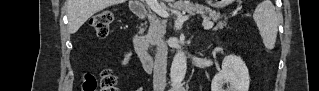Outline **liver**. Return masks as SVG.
Masks as SVG:
<instances>
[{"label":"liver","mask_w":319,"mask_h":91,"mask_svg":"<svg viewBox=\"0 0 319 91\" xmlns=\"http://www.w3.org/2000/svg\"><path fill=\"white\" fill-rule=\"evenodd\" d=\"M125 0H67L70 32L77 30L94 14ZM173 2V0H166Z\"/></svg>","instance_id":"6515ba94"}]
</instances>
